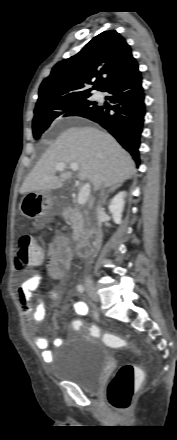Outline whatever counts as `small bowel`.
<instances>
[{"mask_svg": "<svg viewBox=\"0 0 177 440\" xmlns=\"http://www.w3.org/2000/svg\"><path fill=\"white\" fill-rule=\"evenodd\" d=\"M72 258L73 255L67 237L64 235H57L54 241L48 246L46 253V266L49 276L56 281L62 279L71 265ZM41 280L42 276L40 274H35L20 283L15 290L16 298L30 325L40 323L46 315V309L42 298L36 297L34 306H32L30 302L32 293L38 289ZM60 296L61 293L57 287L52 288L49 292V298L53 302L58 301ZM73 308L78 316H84L88 313V307L86 303L82 301L74 302ZM53 343L55 346H61L63 344V338L57 335L54 337ZM35 346L41 350L45 361L48 362L52 360L53 351L49 347V339L47 336L37 335L35 337Z\"/></svg>", "mask_w": 177, "mask_h": 440, "instance_id": "small-bowel-1", "label": "small bowel"}]
</instances>
